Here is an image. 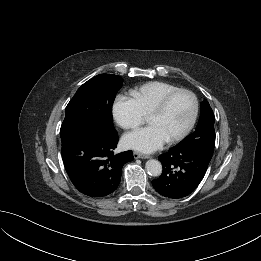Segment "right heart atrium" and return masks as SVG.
I'll return each mask as SVG.
<instances>
[{"instance_id":"1","label":"right heart atrium","mask_w":261,"mask_h":261,"mask_svg":"<svg viewBox=\"0 0 261 261\" xmlns=\"http://www.w3.org/2000/svg\"><path fill=\"white\" fill-rule=\"evenodd\" d=\"M112 112L116 123L124 129L137 127L145 117L136 99L125 95L117 96Z\"/></svg>"}]
</instances>
